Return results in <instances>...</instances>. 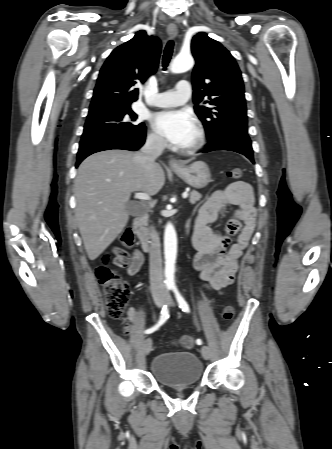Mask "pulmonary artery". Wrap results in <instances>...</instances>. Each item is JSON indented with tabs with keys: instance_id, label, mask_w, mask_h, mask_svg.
<instances>
[{
	"instance_id": "pulmonary-artery-1",
	"label": "pulmonary artery",
	"mask_w": 332,
	"mask_h": 449,
	"mask_svg": "<svg viewBox=\"0 0 332 449\" xmlns=\"http://www.w3.org/2000/svg\"><path fill=\"white\" fill-rule=\"evenodd\" d=\"M191 90L190 83L181 80L175 85L174 89L157 94L149 100V103L157 107L179 106L189 99Z\"/></svg>"
}]
</instances>
